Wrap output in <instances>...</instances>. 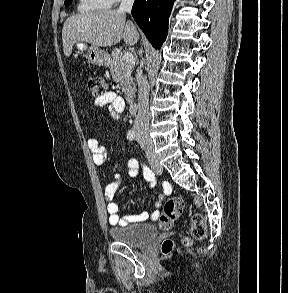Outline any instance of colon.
<instances>
[{
	"label": "colon",
	"mask_w": 288,
	"mask_h": 293,
	"mask_svg": "<svg viewBox=\"0 0 288 293\" xmlns=\"http://www.w3.org/2000/svg\"><path fill=\"white\" fill-rule=\"evenodd\" d=\"M86 87L88 93L99 98L106 93V81L99 76H89L87 78ZM183 201L179 197L169 198L163 205L162 211L158 217L159 226L162 229L172 228L180 215L183 212ZM206 236V224L204 218L200 214H195L191 220V238H185L183 243L186 245L191 244L192 240H202ZM174 247L172 240L167 239L162 243L161 250L163 254H169Z\"/></svg>",
	"instance_id": "5ec220e1"
}]
</instances>
